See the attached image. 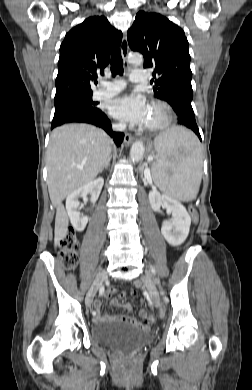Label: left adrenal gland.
I'll list each match as a JSON object with an SVG mask.
<instances>
[{"label": "left adrenal gland", "instance_id": "1", "mask_svg": "<svg viewBox=\"0 0 252 390\" xmlns=\"http://www.w3.org/2000/svg\"><path fill=\"white\" fill-rule=\"evenodd\" d=\"M141 178H142V180H143L144 184L146 185V184H147V180H146V178H145V177H143V172H142V174H141Z\"/></svg>", "mask_w": 252, "mask_h": 390}]
</instances>
